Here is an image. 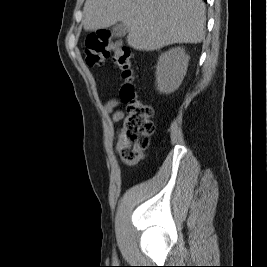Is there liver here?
<instances>
[{
  "label": "liver",
  "mask_w": 267,
  "mask_h": 267,
  "mask_svg": "<svg viewBox=\"0 0 267 267\" xmlns=\"http://www.w3.org/2000/svg\"><path fill=\"white\" fill-rule=\"evenodd\" d=\"M205 9L202 0H86L83 26L97 31L121 22L128 28L130 47L154 51L175 43H200Z\"/></svg>",
  "instance_id": "obj_1"
}]
</instances>
